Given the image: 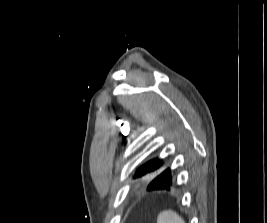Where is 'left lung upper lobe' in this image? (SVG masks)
<instances>
[{"label":"left lung upper lobe","instance_id":"1","mask_svg":"<svg viewBox=\"0 0 267 223\" xmlns=\"http://www.w3.org/2000/svg\"><path fill=\"white\" fill-rule=\"evenodd\" d=\"M156 173H172L168 160L156 158L148 161L138 169L133 178H147L151 182L156 178Z\"/></svg>","mask_w":267,"mask_h":223}]
</instances>
